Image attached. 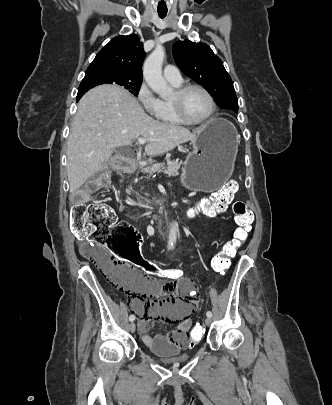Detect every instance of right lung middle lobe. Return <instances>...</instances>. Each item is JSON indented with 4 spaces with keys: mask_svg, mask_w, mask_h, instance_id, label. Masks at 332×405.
Listing matches in <instances>:
<instances>
[{
    "mask_svg": "<svg viewBox=\"0 0 332 405\" xmlns=\"http://www.w3.org/2000/svg\"><path fill=\"white\" fill-rule=\"evenodd\" d=\"M141 83L142 79L140 78L131 77L121 72L100 70L85 74L78 93H86L89 89L101 84H118L137 96Z\"/></svg>",
    "mask_w": 332,
    "mask_h": 405,
    "instance_id": "obj_1",
    "label": "right lung middle lobe"
}]
</instances>
